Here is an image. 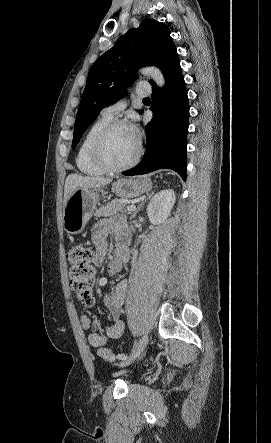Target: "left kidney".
Instances as JSON below:
<instances>
[{"instance_id": "obj_1", "label": "left kidney", "mask_w": 271, "mask_h": 443, "mask_svg": "<svg viewBox=\"0 0 271 443\" xmlns=\"http://www.w3.org/2000/svg\"><path fill=\"white\" fill-rule=\"evenodd\" d=\"M175 194L173 190H162L153 196L150 204L147 206V214L151 223L158 225L167 220L174 204Z\"/></svg>"}]
</instances>
